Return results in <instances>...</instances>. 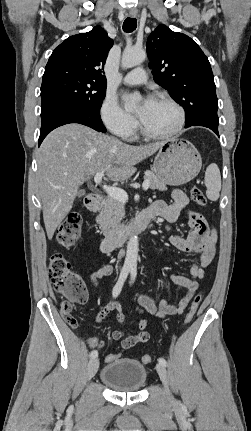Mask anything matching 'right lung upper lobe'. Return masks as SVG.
Segmentation results:
<instances>
[{"instance_id": "cb5924a9", "label": "right lung upper lobe", "mask_w": 251, "mask_h": 431, "mask_svg": "<svg viewBox=\"0 0 251 431\" xmlns=\"http://www.w3.org/2000/svg\"><path fill=\"white\" fill-rule=\"evenodd\" d=\"M113 40L100 26L87 33L70 36L51 54L46 69L67 68L105 82L104 64Z\"/></svg>"}]
</instances>
